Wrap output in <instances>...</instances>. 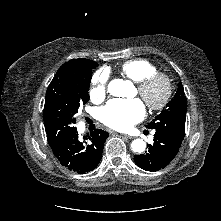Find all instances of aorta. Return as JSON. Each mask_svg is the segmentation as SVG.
Here are the masks:
<instances>
[{"instance_id":"obj_1","label":"aorta","mask_w":221,"mask_h":221,"mask_svg":"<svg viewBox=\"0 0 221 221\" xmlns=\"http://www.w3.org/2000/svg\"><path fill=\"white\" fill-rule=\"evenodd\" d=\"M129 87L128 82L122 79H114L108 85V92L116 97H124ZM131 149L135 153H142L146 149V143L142 139H135L131 143Z\"/></svg>"}]
</instances>
